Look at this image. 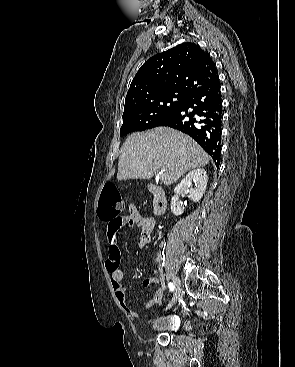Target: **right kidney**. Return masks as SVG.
Masks as SVG:
<instances>
[{
    "label": "right kidney",
    "mask_w": 295,
    "mask_h": 367,
    "mask_svg": "<svg viewBox=\"0 0 295 367\" xmlns=\"http://www.w3.org/2000/svg\"><path fill=\"white\" fill-rule=\"evenodd\" d=\"M192 182L195 183V188L192 187ZM207 182L208 177L204 169L190 171L174 189L175 195L171 200L172 213L178 216L184 212L183 203L178 197L180 191H186L194 202H198L205 193Z\"/></svg>",
    "instance_id": "obj_1"
}]
</instances>
